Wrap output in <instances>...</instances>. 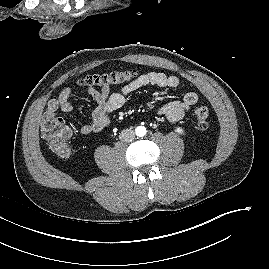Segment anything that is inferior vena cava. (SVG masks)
Returning <instances> with one entry per match:
<instances>
[{"label": "inferior vena cava", "instance_id": "602c4592", "mask_svg": "<svg viewBox=\"0 0 269 269\" xmlns=\"http://www.w3.org/2000/svg\"><path fill=\"white\" fill-rule=\"evenodd\" d=\"M119 138L125 142H131L135 138V132L131 129H124L120 133Z\"/></svg>", "mask_w": 269, "mask_h": 269}]
</instances>
